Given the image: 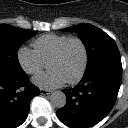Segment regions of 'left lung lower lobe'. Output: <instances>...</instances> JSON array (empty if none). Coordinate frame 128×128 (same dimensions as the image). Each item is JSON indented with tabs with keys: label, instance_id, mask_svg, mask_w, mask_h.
I'll return each instance as SVG.
<instances>
[{
	"label": "left lung lower lobe",
	"instance_id": "obj_1",
	"mask_svg": "<svg viewBox=\"0 0 128 128\" xmlns=\"http://www.w3.org/2000/svg\"><path fill=\"white\" fill-rule=\"evenodd\" d=\"M122 80L121 58L102 59L87 68L81 82L63 90L66 105L56 112L59 120L71 128L96 125L113 108Z\"/></svg>",
	"mask_w": 128,
	"mask_h": 128
}]
</instances>
